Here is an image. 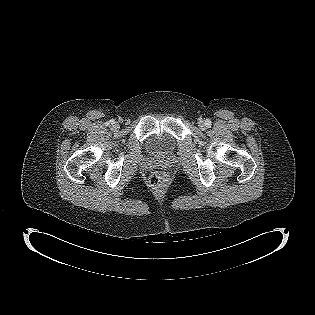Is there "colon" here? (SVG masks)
I'll list each match as a JSON object with an SVG mask.
<instances>
[{"label":"colon","mask_w":315,"mask_h":315,"mask_svg":"<svg viewBox=\"0 0 315 315\" xmlns=\"http://www.w3.org/2000/svg\"><path fill=\"white\" fill-rule=\"evenodd\" d=\"M171 176L167 171L157 170L150 174L149 183L153 188L159 189L167 186Z\"/></svg>","instance_id":"colon-1"}]
</instances>
